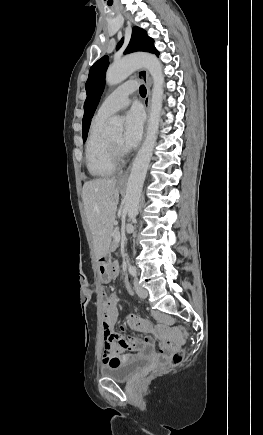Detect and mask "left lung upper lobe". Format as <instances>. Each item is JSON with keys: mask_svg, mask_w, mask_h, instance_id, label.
Returning <instances> with one entry per match:
<instances>
[{"mask_svg": "<svg viewBox=\"0 0 263 435\" xmlns=\"http://www.w3.org/2000/svg\"><path fill=\"white\" fill-rule=\"evenodd\" d=\"M122 43L123 39L117 45V50L121 47ZM135 51H146L159 56V51L154 47V40L147 35L145 30L137 26L133 27L130 43L124 53L126 54ZM108 65L109 57L103 56L93 64L89 72L88 80L86 82L87 99L84 103V117L82 121L83 141L87 138L91 118L94 115L104 89L105 73Z\"/></svg>", "mask_w": 263, "mask_h": 435, "instance_id": "left-lung-upper-lobe-1", "label": "left lung upper lobe"}]
</instances>
